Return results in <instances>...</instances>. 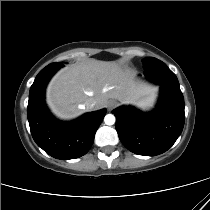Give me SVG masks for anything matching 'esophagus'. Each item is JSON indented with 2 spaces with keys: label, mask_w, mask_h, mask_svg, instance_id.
Returning a JSON list of instances; mask_svg holds the SVG:
<instances>
[{
  "label": "esophagus",
  "mask_w": 210,
  "mask_h": 210,
  "mask_svg": "<svg viewBox=\"0 0 210 210\" xmlns=\"http://www.w3.org/2000/svg\"><path fill=\"white\" fill-rule=\"evenodd\" d=\"M116 105H117V102L114 101V100H111V101L108 102V108L109 109H113L114 107H116Z\"/></svg>",
  "instance_id": "esophagus-1"
}]
</instances>
